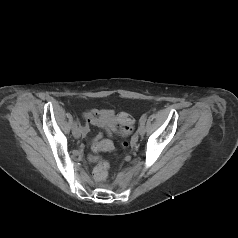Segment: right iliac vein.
Instances as JSON below:
<instances>
[{"mask_svg":"<svg viewBox=\"0 0 238 238\" xmlns=\"http://www.w3.org/2000/svg\"><path fill=\"white\" fill-rule=\"evenodd\" d=\"M81 129L80 128H74L73 129V131H72V133H73V136L75 137V138H80V136H81Z\"/></svg>","mask_w":238,"mask_h":238,"instance_id":"obj_1","label":"right iliac vein"}]
</instances>
